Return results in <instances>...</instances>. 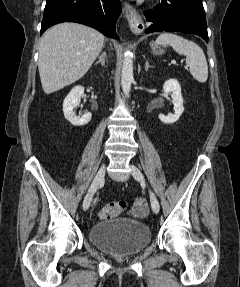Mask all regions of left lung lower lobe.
<instances>
[{"label": "left lung lower lobe", "mask_w": 240, "mask_h": 287, "mask_svg": "<svg viewBox=\"0 0 240 287\" xmlns=\"http://www.w3.org/2000/svg\"><path fill=\"white\" fill-rule=\"evenodd\" d=\"M150 26L145 33L181 31L196 34L208 42L207 24L202 0H162L145 12Z\"/></svg>", "instance_id": "left-lung-lower-lobe-1"}]
</instances>
